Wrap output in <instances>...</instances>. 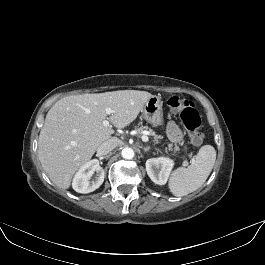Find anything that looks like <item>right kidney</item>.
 I'll list each match as a JSON object with an SVG mask.
<instances>
[{
  "instance_id": "obj_1",
  "label": "right kidney",
  "mask_w": 265,
  "mask_h": 265,
  "mask_svg": "<svg viewBox=\"0 0 265 265\" xmlns=\"http://www.w3.org/2000/svg\"><path fill=\"white\" fill-rule=\"evenodd\" d=\"M93 179L91 180L92 176ZM105 172L97 159L87 162L73 178L72 187L78 193H90L98 189L104 181Z\"/></svg>"
}]
</instances>
